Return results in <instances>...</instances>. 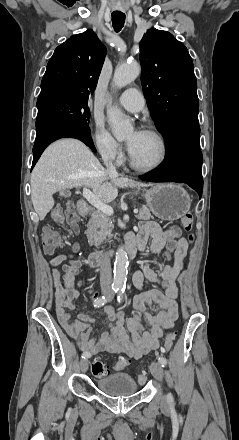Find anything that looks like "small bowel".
<instances>
[{"instance_id": "obj_1", "label": "small bowel", "mask_w": 239, "mask_h": 440, "mask_svg": "<svg viewBox=\"0 0 239 440\" xmlns=\"http://www.w3.org/2000/svg\"><path fill=\"white\" fill-rule=\"evenodd\" d=\"M173 238L172 229L163 230L152 221L142 222L137 234L129 235L128 242L137 244L140 251L145 250L149 240L151 253H158L167 246L169 251L174 252L173 264H160L157 269L144 265L142 271L136 272L133 276V283L140 293L133 300L134 316L126 322L127 331L124 327L123 313L108 307L105 310V317L109 329L98 339L90 338L95 319L84 313H79L72 318L68 311L75 309V301L79 298V292L74 285V277L68 275L65 267V274L61 276L59 265L67 260L68 256L58 255L52 260L58 319L65 331L77 341L83 352L95 355L102 351H109L139 359L160 347L163 331L173 327L178 318L177 278L184 269L189 247L185 237H180L172 246H169ZM145 279L159 284L161 290L145 289L143 284ZM148 308H152L155 313H149ZM143 322L147 323V329L143 327Z\"/></svg>"}]
</instances>
